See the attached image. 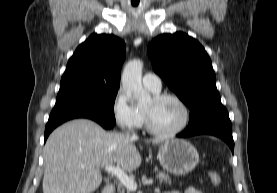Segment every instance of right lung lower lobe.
Masks as SVG:
<instances>
[{
	"label": "right lung lower lobe",
	"mask_w": 277,
	"mask_h": 193,
	"mask_svg": "<svg viewBox=\"0 0 277 193\" xmlns=\"http://www.w3.org/2000/svg\"><path fill=\"white\" fill-rule=\"evenodd\" d=\"M74 118H88L98 122L105 129H111L114 127L115 122H111L106 118H103L95 113L78 110V109H65V108H54L49 116V120L46 124L44 142L51 133V131L59 126L60 124Z\"/></svg>",
	"instance_id": "1"
}]
</instances>
